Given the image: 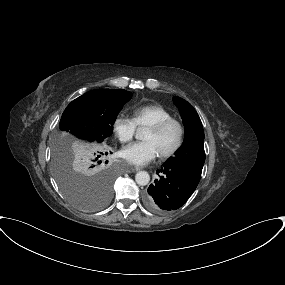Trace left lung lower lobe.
Segmentation results:
<instances>
[{
  "label": "left lung lower lobe",
  "instance_id": "0a47b994",
  "mask_svg": "<svg viewBox=\"0 0 285 285\" xmlns=\"http://www.w3.org/2000/svg\"><path fill=\"white\" fill-rule=\"evenodd\" d=\"M157 173L163 176L150 184L144 196L145 205L156 212H168L180 208L195 191L199 178L164 165Z\"/></svg>",
  "mask_w": 285,
  "mask_h": 285
}]
</instances>
